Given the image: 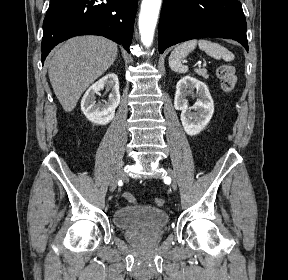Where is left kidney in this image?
I'll return each mask as SVG.
<instances>
[{
    "label": "left kidney",
    "mask_w": 288,
    "mask_h": 280,
    "mask_svg": "<svg viewBox=\"0 0 288 280\" xmlns=\"http://www.w3.org/2000/svg\"><path fill=\"white\" fill-rule=\"evenodd\" d=\"M194 89L199 99L192 107H189L186 97L193 93ZM174 107L181 111L182 126L184 131L191 136L199 134L214 113V103L207 85L191 76H185L177 82Z\"/></svg>",
    "instance_id": "obj_1"
}]
</instances>
